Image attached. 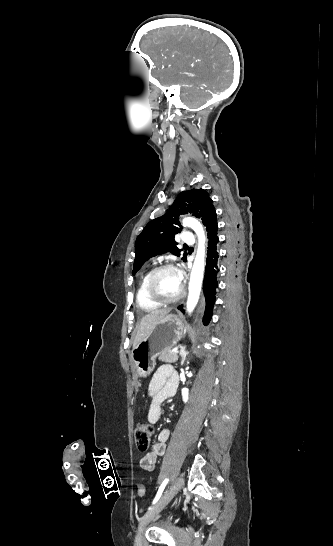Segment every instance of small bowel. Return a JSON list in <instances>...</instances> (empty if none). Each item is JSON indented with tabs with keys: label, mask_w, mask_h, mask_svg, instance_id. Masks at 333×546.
Returning a JSON list of instances; mask_svg holds the SVG:
<instances>
[{
	"label": "small bowel",
	"mask_w": 333,
	"mask_h": 546,
	"mask_svg": "<svg viewBox=\"0 0 333 546\" xmlns=\"http://www.w3.org/2000/svg\"><path fill=\"white\" fill-rule=\"evenodd\" d=\"M178 382V375L170 365H163L154 373L147 389L151 401L147 415L150 423L155 424L160 419L163 403L175 394ZM169 436L168 429L159 431L152 450L140 458L139 465L142 469L146 471L154 469L158 457L165 454Z\"/></svg>",
	"instance_id": "obj_1"
}]
</instances>
